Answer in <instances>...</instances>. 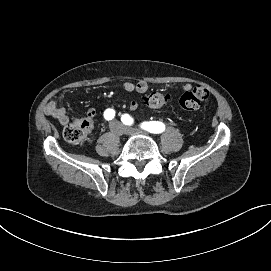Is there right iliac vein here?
Returning a JSON list of instances; mask_svg holds the SVG:
<instances>
[{
	"instance_id": "right-iliac-vein-1",
	"label": "right iliac vein",
	"mask_w": 271,
	"mask_h": 271,
	"mask_svg": "<svg viewBox=\"0 0 271 271\" xmlns=\"http://www.w3.org/2000/svg\"><path fill=\"white\" fill-rule=\"evenodd\" d=\"M110 131L120 136L124 132V128L120 123L113 121L110 124Z\"/></svg>"
}]
</instances>
